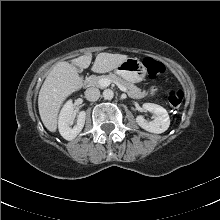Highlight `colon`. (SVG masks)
I'll return each mask as SVG.
<instances>
[{
  "label": "colon",
  "mask_w": 220,
  "mask_h": 220,
  "mask_svg": "<svg viewBox=\"0 0 220 220\" xmlns=\"http://www.w3.org/2000/svg\"><path fill=\"white\" fill-rule=\"evenodd\" d=\"M143 64L150 78H156L162 75L165 71L164 65L161 62L151 57L144 58ZM167 99H168V104L170 106L171 111L176 112L182 103L183 92L181 90H176V89L171 90L168 93Z\"/></svg>",
  "instance_id": "5ec220e1"
}]
</instances>
